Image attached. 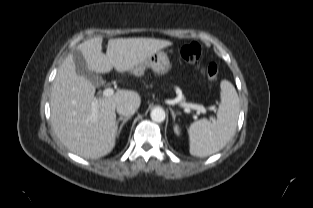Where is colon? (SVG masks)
<instances>
[{
    "instance_id": "5ec220e1",
    "label": "colon",
    "mask_w": 313,
    "mask_h": 208,
    "mask_svg": "<svg viewBox=\"0 0 313 208\" xmlns=\"http://www.w3.org/2000/svg\"><path fill=\"white\" fill-rule=\"evenodd\" d=\"M181 56L187 62L199 69L208 79L213 81L217 79L218 68L216 64L212 62L206 63L203 49L198 43L192 42L184 45L181 49Z\"/></svg>"
}]
</instances>
